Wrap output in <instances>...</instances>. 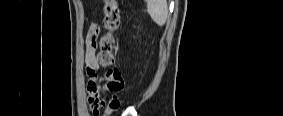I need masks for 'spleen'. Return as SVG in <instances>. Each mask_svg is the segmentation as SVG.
<instances>
[{"instance_id":"3e777b00","label":"spleen","mask_w":283,"mask_h":116,"mask_svg":"<svg viewBox=\"0 0 283 116\" xmlns=\"http://www.w3.org/2000/svg\"><path fill=\"white\" fill-rule=\"evenodd\" d=\"M147 12L157 25L163 26L168 18V6L166 0H148Z\"/></svg>"}]
</instances>
